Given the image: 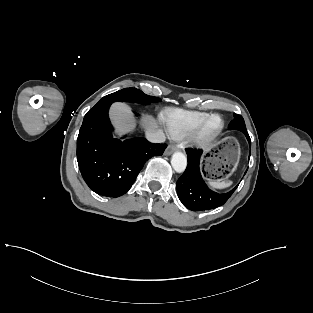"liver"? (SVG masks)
<instances>
[{"label": "liver", "instance_id": "liver-1", "mask_svg": "<svg viewBox=\"0 0 313 313\" xmlns=\"http://www.w3.org/2000/svg\"><path fill=\"white\" fill-rule=\"evenodd\" d=\"M110 118L119 132H127L134 126V118L128 105L124 103H115L110 109ZM143 125L147 130H155L157 128L156 120L151 116H145Z\"/></svg>", "mask_w": 313, "mask_h": 313}]
</instances>
